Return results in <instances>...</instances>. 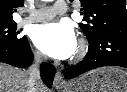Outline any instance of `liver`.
Wrapping results in <instances>:
<instances>
[{
  "mask_svg": "<svg viewBox=\"0 0 127 92\" xmlns=\"http://www.w3.org/2000/svg\"><path fill=\"white\" fill-rule=\"evenodd\" d=\"M28 78V71L0 63V92H27ZM37 90L48 92L42 82L37 85Z\"/></svg>",
  "mask_w": 127,
  "mask_h": 92,
  "instance_id": "6515ba94",
  "label": "liver"
}]
</instances>
